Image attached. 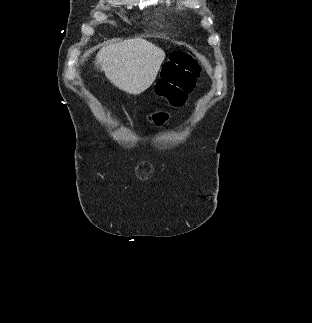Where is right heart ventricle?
<instances>
[{
    "mask_svg": "<svg viewBox=\"0 0 312 323\" xmlns=\"http://www.w3.org/2000/svg\"><path fill=\"white\" fill-rule=\"evenodd\" d=\"M148 13H139L137 15V18L139 20H150V23L152 25H168L170 23V15L172 14V11L170 9H164L162 11L163 18H161V15L157 13L155 10V7L153 5H149L147 7ZM191 13H186L184 9H181L179 11V14L177 15V18L179 20H191ZM152 18V19H151Z\"/></svg>",
    "mask_w": 312,
    "mask_h": 323,
    "instance_id": "1",
    "label": "right heart ventricle"
}]
</instances>
